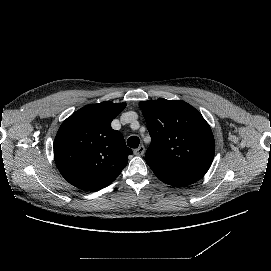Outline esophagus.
Returning <instances> with one entry per match:
<instances>
[{"mask_svg": "<svg viewBox=\"0 0 271 271\" xmlns=\"http://www.w3.org/2000/svg\"><path fill=\"white\" fill-rule=\"evenodd\" d=\"M145 153V147L140 145L137 149L134 150L136 156H142Z\"/></svg>", "mask_w": 271, "mask_h": 271, "instance_id": "34e87169", "label": "esophagus"}]
</instances>
